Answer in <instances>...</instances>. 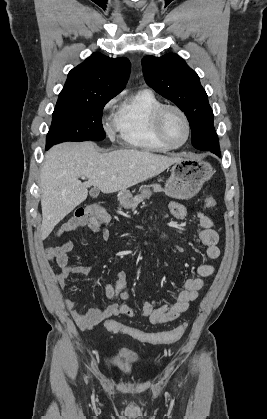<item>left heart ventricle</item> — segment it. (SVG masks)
<instances>
[{
    "label": "left heart ventricle",
    "instance_id": "1",
    "mask_svg": "<svg viewBox=\"0 0 267 419\" xmlns=\"http://www.w3.org/2000/svg\"><path fill=\"white\" fill-rule=\"evenodd\" d=\"M164 133L168 140L175 144H181L186 137V127L181 116L174 110H169L164 118Z\"/></svg>",
    "mask_w": 267,
    "mask_h": 419
}]
</instances>
